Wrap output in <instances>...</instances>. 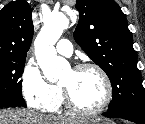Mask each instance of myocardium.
<instances>
[{"label": "myocardium", "mask_w": 145, "mask_h": 124, "mask_svg": "<svg viewBox=\"0 0 145 124\" xmlns=\"http://www.w3.org/2000/svg\"><path fill=\"white\" fill-rule=\"evenodd\" d=\"M92 69L95 70L102 78L104 86H105V96L103 101L94 109H84L80 106H78L75 101L73 100L69 90L63 86L62 84H59L63 100L68 107L70 111H72L75 114L83 115V116H93L97 115L101 112H103L111 103L113 98V85L111 82V79L107 72L98 64L91 63V62H84L77 64L73 67V71L79 72Z\"/></svg>", "instance_id": "myocardium-1"}]
</instances>
